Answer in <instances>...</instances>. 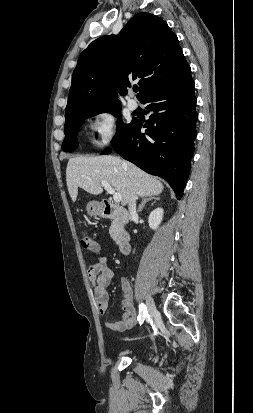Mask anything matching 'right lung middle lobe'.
<instances>
[{"label": "right lung middle lobe", "mask_w": 253, "mask_h": 413, "mask_svg": "<svg viewBox=\"0 0 253 413\" xmlns=\"http://www.w3.org/2000/svg\"><path fill=\"white\" fill-rule=\"evenodd\" d=\"M120 109H121V106L102 109V110H90V111L82 112L76 116L71 117L69 120L65 121V126H64L65 138L62 143V150L67 151V152H72L78 146L77 133L79 131V127L83 123V119L92 117L93 115L103 113V112H110L116 115L117 117H120ZM117 126H118L117 132L112 142H114L130 126V124L123 126V123L119 121Z\"/></svg>", "instance_id": "1"}]
</instances>
